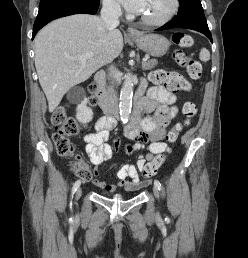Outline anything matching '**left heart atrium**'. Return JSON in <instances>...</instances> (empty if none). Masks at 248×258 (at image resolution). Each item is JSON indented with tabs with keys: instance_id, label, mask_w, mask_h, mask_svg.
I'll return each mask as SVG.
<instances>
[{
	"instance_id": "39dd6f15",
	"label": "left heart atrium",
	"mask_w": 248,
	"mask_h": 258,
	"mask_svg": "<svg viewBox=\"0 0 248 258\" xmlns=\"http://www.w3.org/2000/svg\"><path fill=\"white\" fill-rule=\"evenodd\" d=\"M126 9L131 13H140L145 0H121Z\"/></svg>"
}]
</instances>
